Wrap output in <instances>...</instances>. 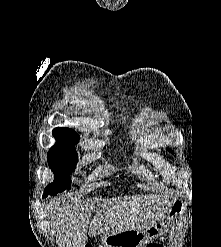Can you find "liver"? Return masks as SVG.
<instances>
[{
    "instance_id": "liver-1",
    "label": "liver",
    "mask_w": 221,
    "mask_h": 247,
    "mask_svg": "<svg viewBox=\"0 0 221 247\" xmlns=\"http://www.w3.org/2000/svg\"><path fill=\"white\" fill-rule=\"evenodd\" d=\"M96 204L102 209L90 221L91 210ZM168 204V197L160 195H135L110 200L93 198L85 204L70 198L68 201L62 200L61 205L51 201L46 205V211L57 230L61 247H84L87 228L91 236L147 228L165 214Z\"/></svg>"
}]
</instances>
